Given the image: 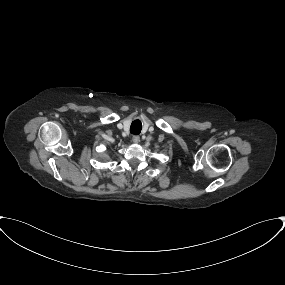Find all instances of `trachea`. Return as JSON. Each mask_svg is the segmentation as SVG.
I'll use <instances>...</instances> for the list:
<instances>
[{"mask_svg": "<svg viewBox=\"0 0 285 285\" xmlns=\"http://www.w3.org/2000/svg\"><path fill=\"white\" fill-rule=\"evenodd\" d=\"M141 129H142L141 121L138 120V119H136V120H134V121L131 123V126H130V133H131V134L138 135V134H140Z\"/></svg>", "mask_w": 285, "mask_h": 285, "instance_id": "1", "label": "trachea"}]
</instances>
